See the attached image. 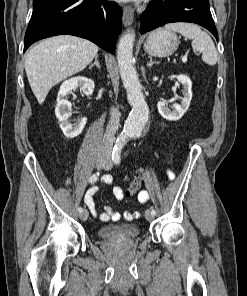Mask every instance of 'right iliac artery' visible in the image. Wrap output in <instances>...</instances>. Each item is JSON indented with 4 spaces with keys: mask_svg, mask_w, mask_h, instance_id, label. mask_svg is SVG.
Returning a JSON list of instances; mask_svg holds the SVG:
<instances>
[{
    "mask_svg": "<svg viewBox=\"0 0 247 296\" xmlns=\"http://www.w3.org/2000/svg\"><path fill=\"white\" fill-rule=\"evenodd\" d=\"M98 178H99V172L93 174V175L89 178V182H90V183H94V182H96V181L98 180ZM82 211H83V208L79 207V208H78V212L81 213Z\"/></svg>",
    "mask_w": 247,
    "mask_h": 296,
    "instance_id": "right-iliac-artery-1",
    "label": "right iliac artery"
}]
</instances>
